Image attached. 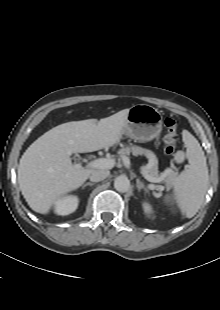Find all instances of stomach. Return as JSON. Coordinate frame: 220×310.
<instances>
[{"instance_id":"obj_1","label":"stomach","mask_w":220,"mask_h":310,"mask_svg":"<svg viewBox=\"0 0 220 310\" xmlns=\"http://www.w3.org/2000/svg\"><path fill=\"white\" fill-rule=\"evenodd\" d=\"M162 130V115L147 104H137L129 109L123 134L146 142L158 137Z\"/></svg>"}]
</instances>
